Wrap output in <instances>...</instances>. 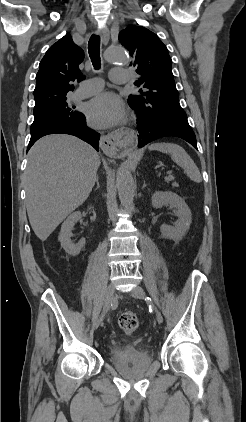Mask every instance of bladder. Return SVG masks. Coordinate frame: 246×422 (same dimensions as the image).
<instances>
[{
    "label": "bladder",
    "mask_w": 246,
    "mask_h": 422,
    "mask_svg": "<svg viewBox=\"0 0 246 422\" xmlns=\"http://www.w3.org/2000/svg\"><path fill=\"white\" fill-rule=\"evenodd\" d=\"M110 353H111V356L115 358L123 354L138 355V354H142L143 352L139 350L137 347L129 343H115L111 346Z\"/></svg>",
    "instance_id": "obj_1"
}]
</instances>
